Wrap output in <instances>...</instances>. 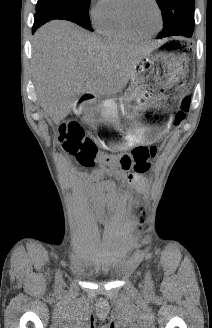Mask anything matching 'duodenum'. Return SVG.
Masks as SVG:
<instances>
[{
    "instance_id": "obj_1",
    "label": "duodenum",
    "mask_w": 212,
    "mask_h": 328,
    "mask_svg": "<svg viewBox=\"0 0 212 328\" xmlns=\"http://www.w3.org/2000/svg\"><path fill=\"white\" fill-rule=\"evenodd\" d=\"M93 101V97L90 94H85L82 95L81 97H79L76 101V108L79 111H82L86 105H88L89 103H91Z\"/></svg>"
}]
</instances>
